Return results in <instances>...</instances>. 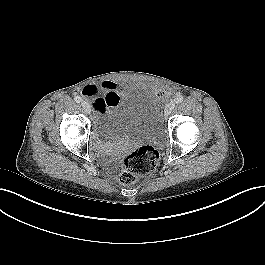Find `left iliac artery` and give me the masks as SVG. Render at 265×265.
I'll list each match as a JSON object with an SVG mask.
<instances>
[{"instance_id":"44dca946","label":"left iliac artery","mask_w":265,"mask_h":265,"mask_svg":"<svg viewBox=\"0 0 265 265\" xmlns=\"http://www.w3.org/2000/svg\"><path fill=\"white\" fill-rule=\"evenodd\" d=\"M174 101H175V103L179 104V103H181L183 101V97L179 96V97L175 98Z\"/></svg>"}]
</instances>
